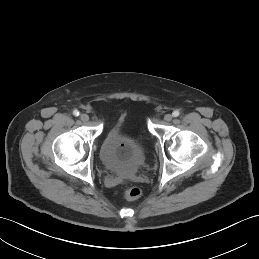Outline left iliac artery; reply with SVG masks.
<instances>
[{
	"mask_svg": "<svg viewBox=\"0 0 259 259\" xmlns=\"http://www.w3.org/2000/svg\"><path fill=\"white\" fill-rule=\"evenodd\" d=\"M179 114H180V112H179L178 110H175V111L172 113V115H173L174 117H178Z\"/></svg>",
	"mask_w": 259,
	"mask_h": 259,
	"instance_id": "obj_1",
	"label": "left iliac artery"
}]
</instances>
